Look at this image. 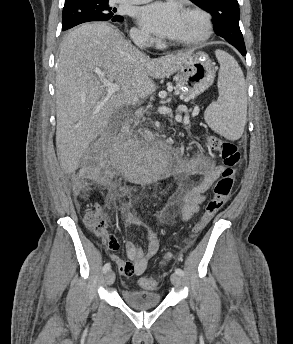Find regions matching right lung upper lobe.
<instances>
[{"label":"right lung upper lobe","mask_w":293,"mask_h":344,"mask_svg":"<svg viewBox=\"0 0 293 344\" xmlns=\"http://www.w3.org/2000/svg\"><path fill=\"white\" fill-rule=\"evenodd\" d=\"M74 1H77V0H65V3L74 2Z\"/></svg>","instance_id":"right-lung-upper-lobe-1"}]
</instances>
